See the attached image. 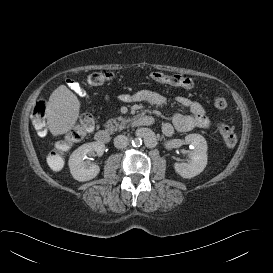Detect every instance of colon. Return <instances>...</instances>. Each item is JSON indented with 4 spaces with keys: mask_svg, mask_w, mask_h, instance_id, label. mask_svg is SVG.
I'll use <instances>...</instances> for the list:
<instances>
[{
    "mask_svg": "<svg viewBox=\"0 0 273 273\" xmlns=\"http://www.w3.org/2000/svg\"><path fill=\"white\" fill-rule=\"evenodd\" d=\"M113 78V74L110 72H92L88 75V81L92 85H101ZM150 79L153 82L160 83V84H169L173 86H181L184 88H192L193 81L189 78L184 76L173 74L167 75L162 72H152L150 73ZM213 104L218 109H224L227 106V101L223 97H215L213 100ZM46 110H47V101L45 99H39L33 108L32 111V124L34 128L37 130L39 134H44L46 131ZM217 129L223 140L225 145L229 148H232L237 143V136L232 127L229 125L218 122L216 124ZM95 127V119L92 113L87 112L80 116L77 124L74 128L69 132L66 143L73 144L80 141L86 133L92 131ZM62 158L60 156V151L56 152L53 157L50 159V166L58 169L61 167Z\"/></svg>",
    "mask_w": 273,
    "mask_h": 273,
    "instance_id": "obj_1",
    "label": "colon"
}]
</instances>
